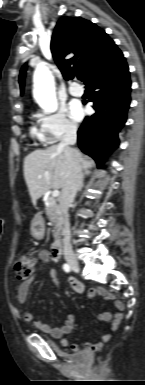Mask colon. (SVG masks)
<instances>
[{
    "label": "colon",
    "instance_id": "colon-1",
    "mask_svg": "<svg viewBox=\"0 0 145 385\" xmlns=\"http://www.w3.org/2000/svg\"><path fill=\"white\" fill-rule=\"evenodd\" d=\"M36 265V260L32 256H21L17 259L14 272L15 277L20 281H27L31 278ZM89 349L93 350L94 347H89Z\"/></svg>",
    "mask_w": 145,
    "mask_h": 385
}]
</instances>
